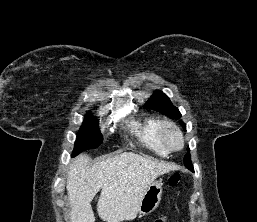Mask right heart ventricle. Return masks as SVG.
<instances>
[{"instance_id":"e07e8e85","label":"right heart ventricle","mask_w":257,"mask_h":222,"mask_svg":"<svg viewBox=\"0 0 257 222\" xmlns=\"http://www.w3.org/2000/svg\"><path fill=\"white\" fill-rule=\"evenodd\" d=\"M160 124L161 121L156 117L147 116L132 121L130 130L140 145L156 154L166 155L168 150L163 146L159 138Z\"/></svg>"}]
</instances>
